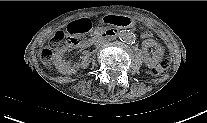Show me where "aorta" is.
Listing matches in <instances>:
<instances>
[{"instance_id": "obj_1", "label": "aorta", "mask_w": 207, "mask_h": 123, "mask_svg": "<svg viewBox=\"0 0 207 123\" xmlns=\"http://www.w3.org/2000/svg\"><path fill=\"white\" fill-rule=\"evenodd\" d=\"M121 39L124 43L133 44L135 43V34L131 31H124L121 33Z\"/></svg>"}]
</instances>
